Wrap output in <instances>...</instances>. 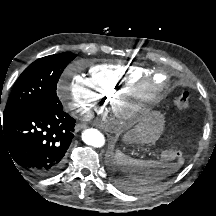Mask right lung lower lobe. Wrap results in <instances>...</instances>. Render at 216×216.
<instances>
[{
	"label": "right lung lower lobe",
	"instance_id": "obj_1",
	"mask_svg": "<svg viewBox=\"0 0 216 216\" xmlns=\"http://www.w3.org/2000/svg\"><path fill=\"white\" fill-rule=\"evenodd\" d=\"M74 126L60 101L34 106L0 119V153L36 177L55 175L63 168Z\"/></svg>",
	"mask_w": 216,
	"mask_h": 216
}]
</instances>
